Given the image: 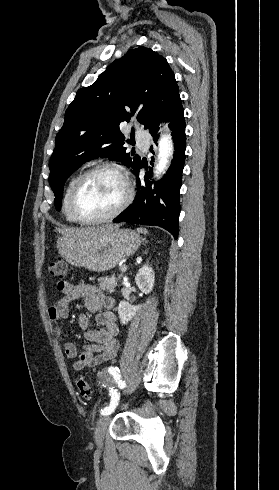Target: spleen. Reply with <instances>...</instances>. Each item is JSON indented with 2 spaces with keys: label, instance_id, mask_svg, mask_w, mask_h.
Returning a JSON list of instances; mask_svg holds the SVG:
<instances>
[{
  "label": "spleen",
  "instance_id": "1",
  "mask_svg": "<svg viewBox=\"0 0 279 490\" xmlns=\"http://www.w3.org/2000/svg\"><path fill=\"white\" fill-rule=\"evenodd\" d=\"M137 232H140V234H147V230H145V228H137Z\"/></svg>",
  "mask_w": 279,
  "mask_h": 490
}]
</instances>
